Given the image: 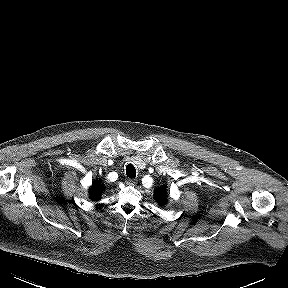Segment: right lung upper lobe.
Returning a JSON list of instances; mask_svg holds the SVG:
<instances>
[{
  "instance_id": "obj_1",
  "label": "right lung upper lobe",
  "mask_w": 288,
  "mask_h": 288,
  "mask_svg": "<svg viewBox=\"0 0 288 288\" xmlns=\"http://www.w3.org/2000/svg\"><path fill=\"white\" fill-rule=\"evenodd\" d=\"M91 198L92 200H98L101 197V193H102V187L100 186V183L95 182L92 187H91Z\"/></svg>"
}]
</instances>
